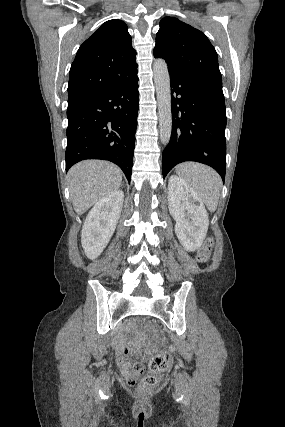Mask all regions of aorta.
Wrapping results in <instances>:
<instances>
[{
  "instance_id": "obj_1",
  "label": "aorta",
  "mask_w": 285,
  "mask_h": 427,
  "mask_svg": "<svg viewBox=\"0 0 285 427\" xmlns=\"http://www.w3.org/2000/svg\"><path fill=\"white\" fill-rule=\"evenodd\" d=\"M154 83L158 102L159 130L162 144L167 145L172 132L171 90L168 67L163 59L153 64Z\"/></svg>"
}]
</instances>
